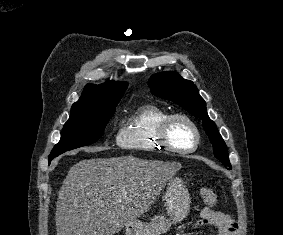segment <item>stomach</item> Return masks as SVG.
Instances as JSON below:
<instances>
[{"mask_svg":"<svg viewBox=\"0 0 283 235\" xmlns=\"http://www.w3.org/2000/svg\"><path fill=\"white\" fill-rule=\"evenodd\" d=\"M165 200L167 216H155L150 223L133 221L125 225V235H162L189 213L191 199L181 178L171 177L168 180Z\"/></svg>","mask_w":283,"mask_h":235,"instance_id":"obj_1","label":"stomach"}]
</instances>
